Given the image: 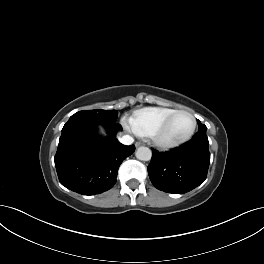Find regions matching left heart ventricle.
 <instances>
[{
    "mask_svg": "<svg viewBox=\"0 0 264 264\" xmlns=\"http://www.w3.org/2000/svg\"><path fill=\"white\" fill-rule=\"evenodd\" d=\"M191 127L192 120L190 116L184 113L178 114L172 119L164 137L168 140L181 138L190 131Z\"/></svg>",
    "mask_w": 264,
    "mask_h": 264,
    "instance_id": "1",
    "label": "left heart ventricle"
}]
</instances>
